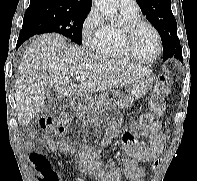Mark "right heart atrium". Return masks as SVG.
<instances>
[{"label":"right heart atrium","instance_id":"1","mask_svg":"<svg viewBox=\"0 0 197 181\" xmlns=\"http://www.w3.org/2000/svg\"><path fill=\"white\" fill-rule=\"evenodd\" d=\"M105 29L106 24L97 8H90L81 26L83 42L87 46L95 48L102 39Z\"/></svg>","mask_w":197,"mask_h":181}]
</instances>
